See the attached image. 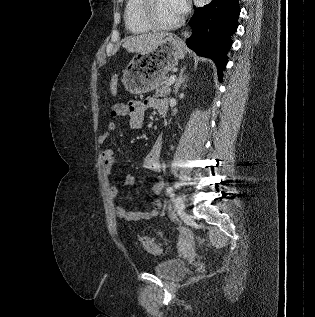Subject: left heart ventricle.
Masks as SVG:
<instances>
[{
    "label": "left heart ventricle",
    "instance_id": "1",
    "mask_svg": "<svg viewBox=\"0 0 315 317\" xmlns=\"http://www.w3.org/2000/svg\"><path fill=\"white\" fill-rule=\"evenodd\" d=\"M154 16L161 24H170L179 19L180 14L176 11L172 0H156Z\"/></svg>",
    "mask_w": 315,
    "mask_h": 317
}]
</instances>
